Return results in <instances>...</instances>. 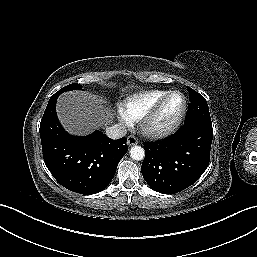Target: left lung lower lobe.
Returning a JSON list of instances; mask_svg holds the SVG:
<instances>
[{"mask_svg":"<svg viewBox=\"0 0 257 257\" xmlns=\"http://www.w3.org/2000/svg\"><path fill=\"white\" fill-rule=\"evenodd\" d=\"M212 138V123L191 121L173 136L146 142L141 167L145 181L154 191L164 194L191 186L207 169Z\"/></svg>","mask_w":257,"mask_h":257,"instance_id":"0a47b994","label":"left lung lower lobe"}]
</instances>
